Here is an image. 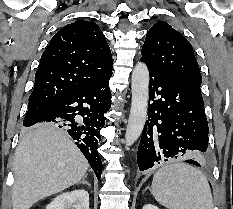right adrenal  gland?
Masks as SVG:
<instances>
[{"instance_id": "right-adrenal-gland-1", "label": "right adrenal gland", "mask_w": 233, "mask_h": 209, "mask_svg": "<svg viewBox=\"0 0 233 209\" xmlns=\"http://www.w3.org/2000/svg\"><path fill=\"white\" fill-rule=\"evenodd\" d=\"M87 174L83 177L81 181H79L77 184H87L89 187L91 186L89 182L86 181Z\"/></svg>"}]
</instances>
